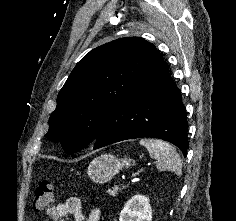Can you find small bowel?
I'll return each instance as SVG.
<instances>
[{"label": "small bowel", "instance_id": "c3829d8e", "mask_svg": "<svg viewBox=\"0 0 236 221\" xmlns=\"http://www.w3.org/2000/svg\"><path fill=\"white\" fill-rule=\"evenodd\" d=\"M46 213L54 221H66L68 216H73L75 221H100L101 217L100 209L93 208L85 218L83 202L78 196H70L56 206L49 207Z\"/></svg>", "mask_w": 236, "mask_h": 221}]
</instances>
